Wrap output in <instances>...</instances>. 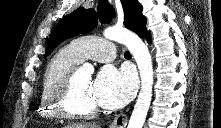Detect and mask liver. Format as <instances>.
Wrapping results in <instances>:
<instances>
[{"label":"liver","mask_w":221,"mask_h":128,"mask_svg":"<svg viewBox=\"0 0 221 128\" xmlns=\"http://www.w3.org/2000/svg\"><path fill=\"white\" fill-rule=\"evenodd\" d=\"M65 128H96V126L91 125V124H78V123H75V124L67 125V126H65Z\"/></svg>","instance_id":"liver-1"}]
</instances>
